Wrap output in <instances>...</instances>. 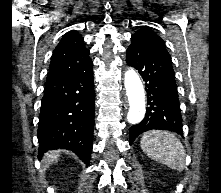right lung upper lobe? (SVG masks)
<instances>
[{
	"instance_id": "obj_1",
	"label": "right lung upper lobe",
	"mask_w": 221,
	"mask_h": 193,
	"mask_svg": "<svg viewBox=\"0 0 221 193\" xmlns=\"http://www.w3.org/2000/svg\"><path fill=\"white\" fill-rule=\"evenodd\" d=\"M89 53L80 34L73 30L67 32L53 51L47 79L69 75L83 69L91 62Z\"/></svg>"
}]
</instances>
